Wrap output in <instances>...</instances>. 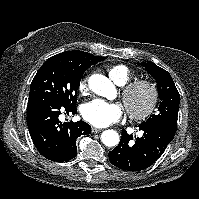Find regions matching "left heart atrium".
<instances>
[{"label": "left heart atrium", "instance_id": "39dd6f15", "mask_svg": "<svg viewBox=\"0 0 199 199\" xmlns=\"http://www.w3.org/2000/svg\"><path fill=\"white\" fill-rule=\"evenodd\" d=\"M123 115V108L117 103L95 99L82 108L83 118L94 126L106 127L117 122Z\"/></svg>", "mask_w": 199, "mask_h": 199}]
</instances>
